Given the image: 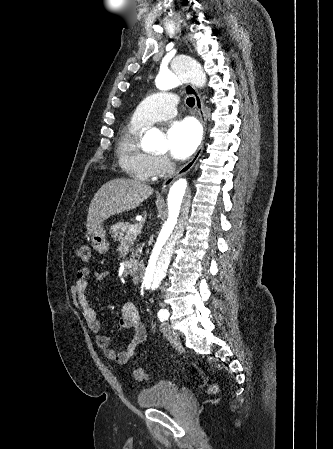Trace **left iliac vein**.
<instances>
[{"label": "left iliac vein", "instance_id": "4c4485c4", "mask_svg": "<svg viewBox=\"0 0 333 449\" xmlns=\"http://www.w3.org/2000/svg\"><path fill=\"white\" fill-rule=\"evenodd\" d=\"M161 331L168 340L172 342H177L179 339V336L177 332L172 328V326L168 323H163L161 326Z\"/></svg>", "mask_w": 333, "mask_h": 449}]
</instances>
